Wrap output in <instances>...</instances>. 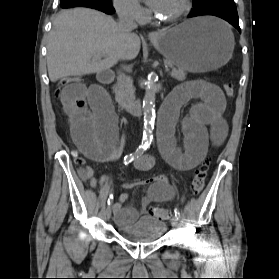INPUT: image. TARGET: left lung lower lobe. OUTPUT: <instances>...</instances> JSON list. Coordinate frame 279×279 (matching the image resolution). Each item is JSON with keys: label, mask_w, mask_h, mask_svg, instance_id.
I'll return each mask as SVG.
<instances>
[{"label": "left lung lower lobe", "mask_w": 279, "mask_h": 279, "mask_svg": "<svg viewBox=\"0 0 279 279\" xmlns=\"http://www.w3.org/2000/svg\"><path fill=\"white\" fill-rule=\"evenodd\" d=\"M195 10L188 17L214 15L228 21L239 32V22L234 0H200L194 4Z\"/></svg>", "instance_id": "0a47b994"}]
</instances>
